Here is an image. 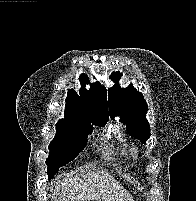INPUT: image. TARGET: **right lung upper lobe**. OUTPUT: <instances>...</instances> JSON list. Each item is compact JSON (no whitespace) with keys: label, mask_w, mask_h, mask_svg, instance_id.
Masks as SVG:
<instances>
[{"label":"right lung upper lobe","mask_w":196,"mask_h":201,"mask_svg":"<svg viewBox=\"0 0 196 201\" xmlns=\"http://www.w3.org/2000/svg\"><path fill=\"white\" fill-rule=\"evenodd\" d=\"M80 95L75 90L67 92L65 115L78 114L87 117L108 118L106 90L99 84H91L89 90L85 89L87 77L80 75Z\"/></svg>","instance_id":"1"}]
</instances>
